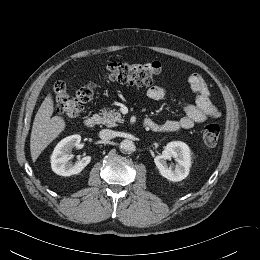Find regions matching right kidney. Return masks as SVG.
I'll return each instance as SVG.
<instances>
[{
    "mask_svg": "<svg viewBox=\"0 0 260 260\" xmlns=\"http://www.w3.org/2000/svg\"><path fill=\"white\" fill-rule=\"evenodd\" d=\"M80 141V135H71L56 145L51 155V168L53 172L61 176H71L80 173L90 163V156L83 157L75 163L69 161L72 149L77 147Z\"/></svg>",
    "mask_w": 260,
    "mask_h": 260,
    "instance_id": "obj_1",
    "label": "right kidney"
}]
</instances>
